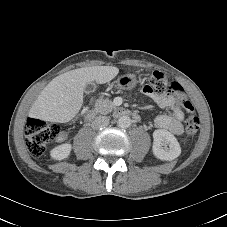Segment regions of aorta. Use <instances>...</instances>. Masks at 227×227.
Here are the masks:
<instances>
[{"mask_svg": "<svg viewBox=\"0 0 227 227\" xmlns=\"http://www.w3.org/2000/svg\"><path fill=\"white\" fill-rule=\"evenodd\" d=\"M131 123H132V120L127 115L121 116L117 122L118 126L121 128H128L130 127Z\"/></svg>", "mask_w": 227, "mask_h": 227, "instance_id": "obj_1", "label": "aorta"}]
</instances>
